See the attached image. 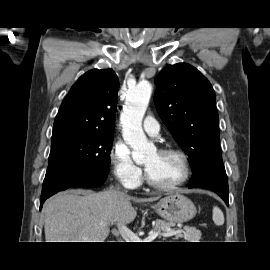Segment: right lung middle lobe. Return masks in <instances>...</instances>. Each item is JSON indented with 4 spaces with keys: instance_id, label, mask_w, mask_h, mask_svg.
I'll return each mask as SVG.
<instances>
[{
    "instance_id": "obj_1",
    "label": "right lung middle lobe",
    "mask_w": 270,
    "mask_h": 270,
    "mask_svg": "<svg viewBox=\"0 0 270 270\" xmlns=\"http://www.w3.org/2000/svg\"><path fill=\"white\" fill-rule=\"evenodd\" d=\"M47 174L75 165L89 173H108L113 132L61 129L53 131Z\"/></svg>"
}]
</instances>
